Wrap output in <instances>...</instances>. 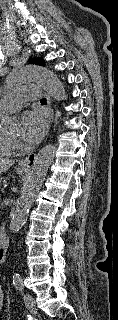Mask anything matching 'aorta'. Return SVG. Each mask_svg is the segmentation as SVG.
<instances>
[{"label":"aorta","instance_id":"762f6f07","mask_svg":"<svg viewBox=\"0 0 118 320\" xmlns=\"http://www.w3.org/2000/svg\"><path fill=\"white\" fill-rule=\"evenodd\" d=\"M7 80L11 86L36 81L44 87L53 99L57 101L66 99L62 82L52 71L42 66L31 65L15 69L8 75ZM16 123V120L9 116L0 118V127L5 129H13ZM55 153L56 147L49 144L43 147L35 157L32 171L24 184L12 215L9 227L12 232H17L27 221L29 210L44 182ZM13 278L19 279V274H14Z\"/></svg>","mask_w":118,"mask_h":320}]
</instances>
